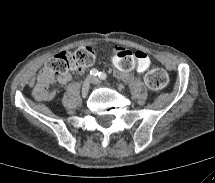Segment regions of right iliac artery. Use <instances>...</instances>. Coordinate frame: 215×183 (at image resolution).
I'll use <instances>...</instances> for the list:
<instances>
[{"instance_id":"right-iliac-artery-1","label":"right iliac artery","mask_w":215,"mask_h":183,"mask_svg":"<svg viewBox=\"0 0 215 183\" xmlns=\"http://www.w3.org/2000/svg\"><path fill=\"white\" fill-rule=\"evenodd\" d=\"M90 74L93 75V76H97L99 74L98 70L93 68L91 71H90Z\"/></svg>"}]
</instances>
